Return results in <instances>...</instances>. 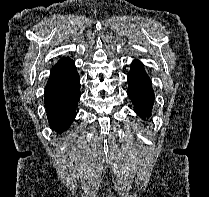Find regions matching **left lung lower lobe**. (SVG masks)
Segmentation results:
<instances>
[{"label": "left lung lower lobe", "instance_id": "obj_1", "mask_svg": "<svg viewBox=\"0 0 209 197\" xmlns=\"http://www.w3.org/2000/svg\"><path fill=\"white\" fill-rule=\"evenodd\" d=\"M128 96L134 104L135 112L145 119L151 116L154 103V92L151 80L145 72L143 64L134 60L128 73Z\"/></svg>", "mask_w": 209, "mask_h": 197}]
</instances>
